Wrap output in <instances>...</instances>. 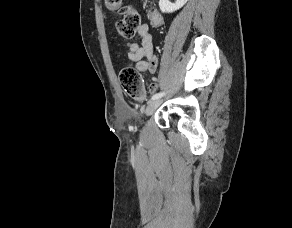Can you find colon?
Wrapping results in <instances>:
<instances>
[{"instance_id": "colon-1", "label": "colon", "mask_w": 292, "mask_h": 228, "mask_svg": "<svg viewBox=\"0 0 292 228\" xmlns=\"http://www.w3.org/2000/svg\"><path fill=\"white\" fill-rule=\"evenodd\" d=\"M105 6L110 12L122 15L116 28L123 38L132 37L143 25L140 12L125 0H105ZM153 25L161 24V17L157 13L150 15ZM120 83L126 94L134 100L142 101L146 97L140 72L134 67H126L119 74Z\"/></svg>"}]
</instances>
